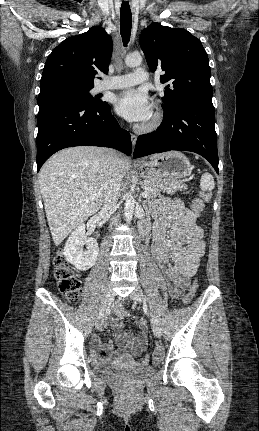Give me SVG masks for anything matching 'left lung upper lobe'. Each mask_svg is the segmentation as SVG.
<instances>
[{
	"label": "left lung upper lobe",
	"mask_w": 259,
	"mask_h": 431,
	"mask_svg": "<svg viewBox=\"0 0 259 431\" xmlns=\"http://www.w3.org/2000/svg\"><path fill=\"white\" fill-rule=\"evenodd\" d=\"M140 46L149 68L162 69L164 88L163 110L179 104H200L214 108L210 66L201 41L190 32L152 23L140 35Z\"/></svg>",
	"instance_id": "1"
}]
</instances>
